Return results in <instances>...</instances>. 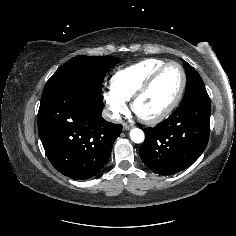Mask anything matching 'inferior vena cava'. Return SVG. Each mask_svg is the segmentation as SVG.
I'll list each match as a JSON object with an SVG mask.
<instances>
[{"mask_svg":"<svg viewBox=\"0 0 236 236\" xmlns=\"http://www.w3.org/2000/svg\"><path fill=\"white\" fill-rule=\"evenodd\" d=\"M103 117L106 120H117L118 119V115L116 113L111 112L109 109H105L103 111Z\"/></svg>","mask_w":236,"mask_h":236,"instance_id":"inferior-vena-cava-1","label":"inferior vena cava"}]
</instances>
